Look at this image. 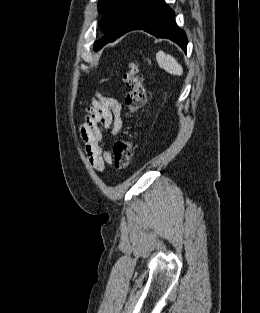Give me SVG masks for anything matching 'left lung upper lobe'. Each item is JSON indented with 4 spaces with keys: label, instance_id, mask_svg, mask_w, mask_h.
I'll return each mask as SVG.
<instances>
[{
    "label": "left lung upper lobe",
    "instance_id": "5c2ea615",
    "mask_svg": "<svg viewBox=\"0 0 260 313\" xmlns=\"http://www.w3.org/2000/svg\"><path fill=\"white\" fill-rule=\"evenodd\" d=\"M154 0H99L98 11L104 17L99 22L100 27L107 34L95 42L94 50L98 51L108 42L119 38L130 24Z\"/></svg>",
    "mask_w": 260,
    "mask_h": 313
}]
</instances>
